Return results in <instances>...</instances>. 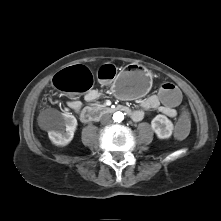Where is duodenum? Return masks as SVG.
<instances>
[{"label": "duodenum", "instance_id": "obj_1", "mask_svg": "<svg viewBox=\"0 0 221 221\" xmlns=\"http://www.w3.org/2000/svg\"><path fill=\"white\" fill-rule=\"evenodd\" d=\"M116 111H122L128 114L131 113L128 107L122 105L109 107H92L83 109L80 114V118L83 122L98 121L103 115L114 113Z\"/></svg>", "mask_w": 221, "mask_h": 221}]
</instances>
